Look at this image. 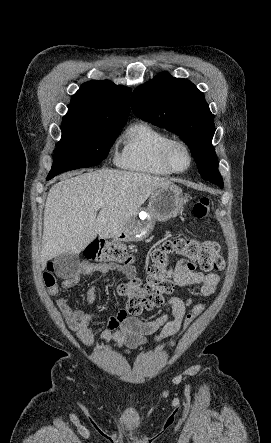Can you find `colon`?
I'll return each instance as SVG.
<instances>
[{
  "instance_id": "1",
  "label": "colon",
  "mask_w": 271,
  "mask_h": 443,
  "mask_svg": "<svg viewBox=\"0 0 271 443\" xmlns=\"http://www.w3.org/2000/svg\"><path fill=\"white\" fill-rule=\"evenodd\" d=\"M193 216L198 219L210 217V200L201 197L192 208ZM173 255L183 256L204 271L223 270L225 261L220 254L219 244L215 241H199L187 237L166 239L152 249L150 263L147 267V279L141 283L132 278L118 286V293L126 300L127 311L131 315L143 310L160 307L163 297L172 290L168 262ZM85 256L94 261L114 262L130 266L134 262L131 250L121 243H111L102 239L92 241L85 251ZM47 287L55 284L51 272L44 274ZM204 309V305H196L184 318V328Z\"/></svg>"
}]
</instances>
